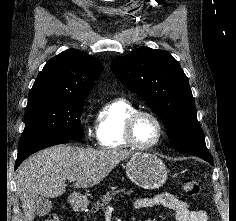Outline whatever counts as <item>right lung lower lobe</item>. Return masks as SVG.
<instances>
[{
	"mask_svg": "<svg viewBox=\"0 0 236 221\" xmlns=\"http://www.w3.org/2000/svg\"><path fill=\"white\" fill-rule=\"evenodd\" d=\"M67 140L65 139H53V140H45V141H37V142H32L29 144H26L22 147L19 148L18 150V155H17V160L15 163V169L19 166V164L28 156L31 154L44 149L49 146H53L56 144H62L66 143Z\"/></svg>",
	"mask_w": 236,
	"mask_h": 221,
	"instance_id": "98d812e1",
	"label": "right lung lower lobe"
}]
</instances>
